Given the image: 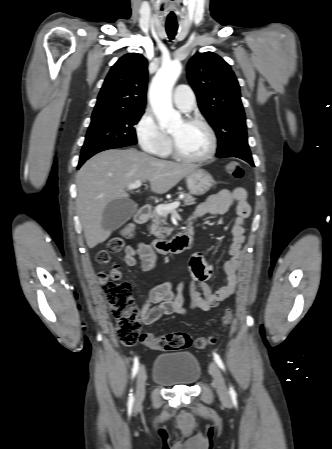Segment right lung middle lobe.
Masks as SVG:
<instances>
[{
    "instance_id": "1",
    "label": "right lung middle lobe",
    "mask_w": 332,
    "mask_h": 449,
    "mask_svg": "<svg viewBox=\"0 0 332 449\" xmlns=\"http://www.w3.org/2000/svg\"><path fill=\"white\" fill-rule=\"evenodd\" d=\"M144 111H114L93 114L82 153L108 146H130L137 143L134 125Z\"/></svg>"
}]
</instances>
